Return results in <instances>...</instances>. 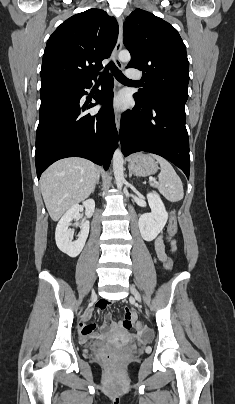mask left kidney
<instances>
[{
    "instance_id": "5707ae66",
    "label": "left kidney",
    "mask_w": 235,
    "mask_h": 404,
    "mask_svg": "<svg viewBox=\"0 0 235 404\" xmlns=\"http://www.w3.org/2000/svg\"><path fill=\"white\" fill-rule=\"evenodd\" d=\"M147 199L151 208V213L142 214L139 218V229L145 241H153L162 232L167 220L168 212L156 193H148Z\"/></svg>"
}]
</instances>
